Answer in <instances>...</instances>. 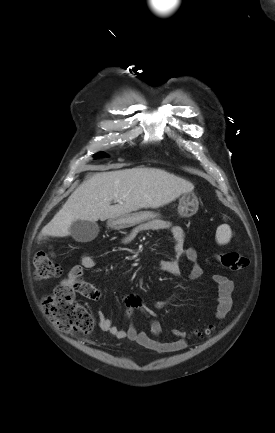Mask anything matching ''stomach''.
Segmentation results:
<instances>
[{
  "instance_id": "0dacf381",
  "label": "stomach",
  "mask_w": 275,
  "mask_h": 433,
  "mask_svg": "<svg viewBox=\"0 0 275 433\" xmlns=\"http://www.w3.org/2000/svg\"><path fill=\"white\" fill-rule=\"evenodd\" d=\"M198 206L199 202L196 195L194 193H185L180 198L178 214L185 218L191 217L196 214ZM155 217L156 215L148 211L129 213L116 218L108 219L107 225L112 229H122L147 222L151 219H154Z\"/></svg>"
}]
</instances>
